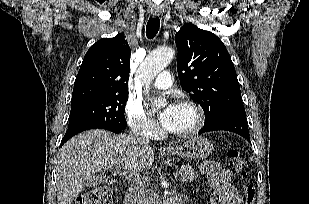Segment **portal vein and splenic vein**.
I'll list each match as a JSON object with an SVG mask.
<instances>
[{
    "mask_svg": "<svg viewBox=\"0 0 309 204\" xmlns=\"http://www.w3.org/2000/svg\"><path fill=\"white\" fill-rule=\"evenodd\" d=\"M113 173L114 175L124 177L125 179H131L133 177V175H131L130 173L122 171L120 167L113 169ZM173 175L176 177L178 175V172H174Z\"/></svg>",
    "mask_w": 309,
    "mask_h": 204,
    "instance_id": "1",
    "label": "portal vein and splenic vein"
}]
</instances>
